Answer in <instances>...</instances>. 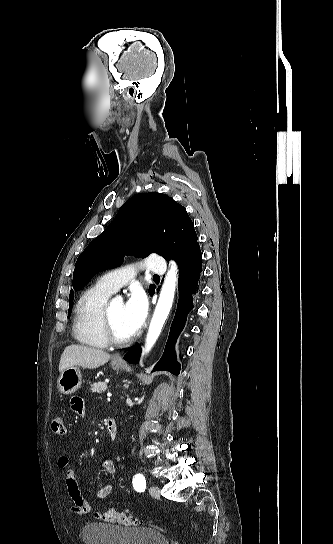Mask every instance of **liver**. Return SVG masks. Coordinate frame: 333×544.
Returning <instances> with one entry per match:
<instances>
[{"label": "liver", "mask_w": 333, "mask_h": 544, "mask_svg": "<svg viewBox=\"0 0 333 544\" xmlns=\"http://www.w3.org/2000/svg\"><path fill=\"white\" fill-rule=\"evenodd\" d=\"M110 357V354L99 349L76 344L69 345L61 355L59 372L62 373L73 366L95 369L107 363Z\"/></svg>", "instance_id": "liver-1"}]
</instances>
